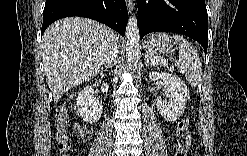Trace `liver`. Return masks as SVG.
Returning a JSON list of instances; mask_svg holds the SVG:
<instances>
[{
	"label": "liver",
	"mask_w": 247,
	"mask_h": 156,
	"mask_svg": "<svg viewBox=\"0 0 247 156\" xmlns=\"http://www.w3.org/2000/svg\"><path fill=\"white\" fill-rule=\"evenodd\" d=\"M113 39L119 41L114 31L86 18H64L47 28L42 37L43 64L55 102L99 73Z\"/></svg>",
	"instance_id": "liver-1"
}]
</instances>
